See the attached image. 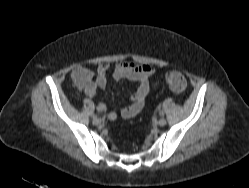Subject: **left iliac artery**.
Wrapping results in <instances>:
<instances>
[{"label":"left iliac artery","instance_id":"44dca946","mask_svg":"<svg viewBox=\"0 0 249 188\" xmlns=\"http://www.w3.org/2000/svg\"><path fill=\"white\" fill-rule=\"evenodd\" d=\"M159 114H160L161 116H164V112H163V111H161Z\"/></svg>","mask_w":249,"mask_h":188}]
</instances>
